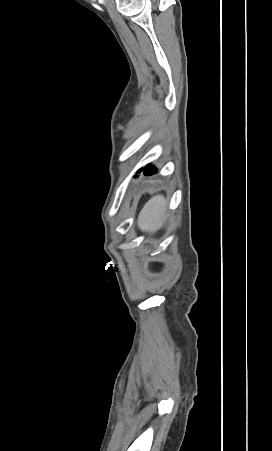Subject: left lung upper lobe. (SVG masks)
Segmentation results:
<instances>
[{
    "mask_svg": "<svg viewBox=\"0 0 272 451\" xmlns=\"http://www.w3.org/2000/svg\"><path fill=\"white\" fill-rule=\"evenodd\" d=\"M141 171H142V169L138 170V172H137V173H140ZM135 177H137V176H135Z\"/></svg>",
    "mask_w": 272,
    "mask_h": 451,
    "instance_id": "left-lung-upper-lobe-1",
    "label": "left lung upper lobe"
}]
</instances>
